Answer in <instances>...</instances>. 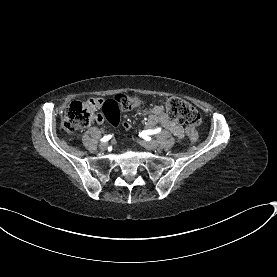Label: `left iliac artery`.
Masks as SVG:
<instances>
[{
  "label": "left iliac artery",
  "mask_w": 277,
  "mask_h": 277,
  "mask_svg": "<svg viewBox=\"0 0 277 277\" xmlns=\"http://www.w3.org/2000/svg\"><path fill=\"white\" fill-rule=\"evenodd\" d=\"M161 132V128H156V129H148L144 130L139 133V136L145 140H150L151 138L149 137L150 135L158 134Z\"/></svg>",
  "instance_id": "1"
}]
</instances>
